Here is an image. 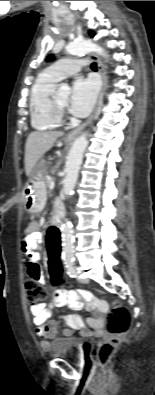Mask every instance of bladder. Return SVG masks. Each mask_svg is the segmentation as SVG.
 Returning <instances> with one entry per match:
<instances>
[{
	"label": "bladder",
	"mask_w": 155,
	"mask_h": 395,
	"mask_svg": "<svg viewBox=\"0 0 155 395\" xmlns=\"http://www.w3.org/2000/svg\"><path fill=\"white\" fill-rule=\"evenodd\" d=\"M87 344L77 338H57L52 341L50 354L80 360L86 355Z\"/></svg>",
	"instance_id": "obj_1"
}]
</instances>
